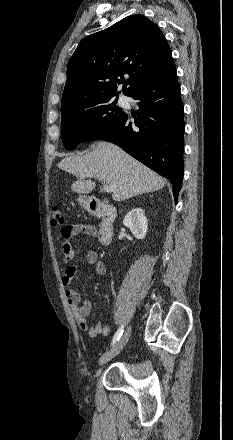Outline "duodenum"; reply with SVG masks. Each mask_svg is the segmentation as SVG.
Instances as JSON below:
<instances>
[{"mask_svg":"<svg viewBox=\"0 0 233 440\" xmlns=\"http://www.w3.org/2000/svg\"><path fill=\"white\" fill-rule=\"evenodd\" d=\"M89 210L92 216L101 218L98 230V239L100 244L109 245L114 238L113 224L116 219V209L106 205L100 200H92Z\"/></svg>","mask_w":233,"mask_h":440,"instance_id":"410a0bca","label":"duodenum"}]
</instances>
